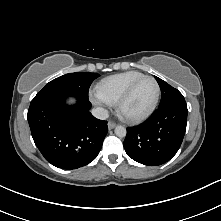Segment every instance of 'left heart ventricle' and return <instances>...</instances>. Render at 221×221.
<instances>
[{
  "label": "left heart ventricle",
  "instance_id": "1",
  "mask_svg": "<svg viewBox=\"0 0 221 221\" xmlns=\"http://www.w3.org/2000/svg\"><path fill=\"white\" fill-rule=\"evenodd\" d=\"M156 94V87L152 80L145 79L135 88L124 106L128 115H138L145 112L152 104Z\"/></svg>",
  "mask_w": 221,
  "mask_h": 221
}]
</instances>
